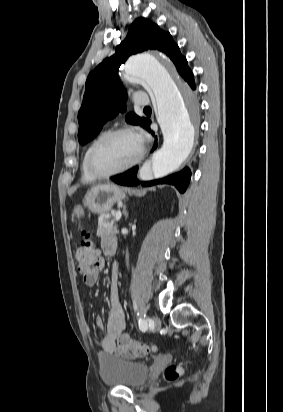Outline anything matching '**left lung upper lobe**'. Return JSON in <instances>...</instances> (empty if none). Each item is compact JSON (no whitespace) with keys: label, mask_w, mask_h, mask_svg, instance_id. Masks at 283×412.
<instances>
[{"label":"left lung upper lobe","mask_w":283,"mask_h":412,"mask_svg":"<svg viewBox=\"0 0 283 412\" xmlns=\"http://www.w3.org/2000/svg\"><path fill=\"white\" fill-rule=\"evenodd\" d=\"M159 50L175 64L179 74L185 78L190 72L186 58L169 32L155 23L139 18L129 28L124 41L110 58L105 59L88 76L81 109L78 113V140L84 145L93 140L101 131L103 123L125 111L127 95L119 82L117 72L127 58L145 50ZM126 121L145 127L149 121L135 114H128Z\"/></svg>","instance_id":"1"}]
</instances>
